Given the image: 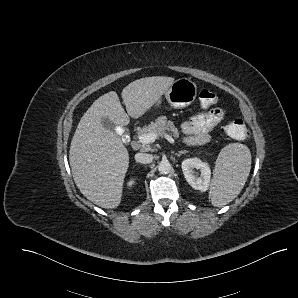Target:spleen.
Instances as JSON below:
<instances>
[{
    "mask_svg": "<svg viewBox=\"0 0 298 298\" xmlns=\"http://www.w3.org/2000/svg\"><path fill=\"white\" fill-rule=\"evenodd\" d=\"M250 149L241 143H230L218 154L209 187L214 207H222L235 199L243 189L251 170Z\"/></svg>",
    "mask_w": 298,
    "mask_h": 298,
    "instance_id": "1",
    "label": "spleen"
}]
</instances>
